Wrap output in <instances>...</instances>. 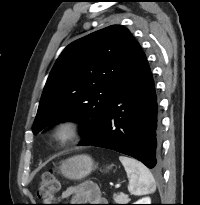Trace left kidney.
<instances>
[{"label":"left kidney","mask_w":200,"mask_h":205,"mask_svg":"<svg viewBox=\"0 0 200 205\" xmlns=\"http://www.w3.org/2000/svg\"><path fill=\"white\" fill-rule=\"evenodd\" d=\"M135 204H151V199L149 197H144L135 202Z\"/></svg>","instance_id":"left-kidney-1"}]
</instances>
